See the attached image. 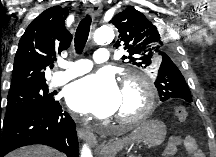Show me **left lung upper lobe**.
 <instances>
[{"instance_id": "obj_1", "label": "left lung upper lobe", "mask_w": 216, "mask_h": 157, "mask_svg": "<svg viewBox=\"0 0 216 157\" xmlns=\"http://www.w3.org/2000/svg\"><path fill=\"white\" fill-rule=\"evenodd\" d=\"M153 22L134 7L116 14L110 21L119 32L115 47H123L128 52L122 57L128 63L154 69V74H158L155 86L161 101L192 102L190 89L182 75L185 69L178 64V51L173 48L175 39L164 35V27Z\"/></svg>"}]
</instances>
